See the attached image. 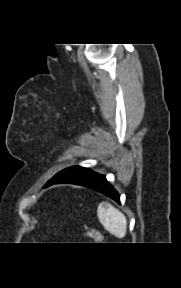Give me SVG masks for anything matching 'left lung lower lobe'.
I'll return each mask as SVG.
<instances>
[{
    "instance_id": "left-lung-lower-lobe-1",
    "label": "left lung lower lobe",
    "mask_w": 181,
    "mask_h": 288,
    "mask_svg": "<svg viewBox=\"0 0 181 288\" xmlns=\"http://www.w3.org/2000/svg\"><path fill=\"white\" fill-rule=\"evenodd\" d=\"M57 184L56 181H49L44 187H48L50 185ZM76 185L85 186L91 189H94L106 196H109L117 203L120 204V196L118 192L113 188L112 185L106 180L104 175H100L98 173H94L82 181L76 183Z\"/></svg>"
}]
</instances>
